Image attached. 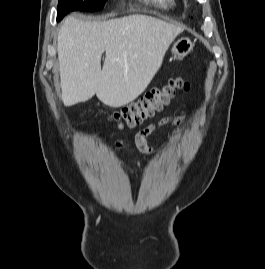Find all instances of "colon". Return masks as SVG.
<instances>
[{"mask_svg": "<svg viewBox=\"0 0 265 269\" xmlns=\"http://www.w3.org/2000/svg\"><path fill=\"white\" fill-rule=\"evenodd\" d=\"M186 89L181 79H171L166 84L151 89L140 100L112 114L111 119L129 127L142 124L160 112L174 97L177 89Z\"/></svg>", "mask_w": 265, "mask_h": 269, "instance_id": "5ec220e1", "label": "colon"}]
</instances>
